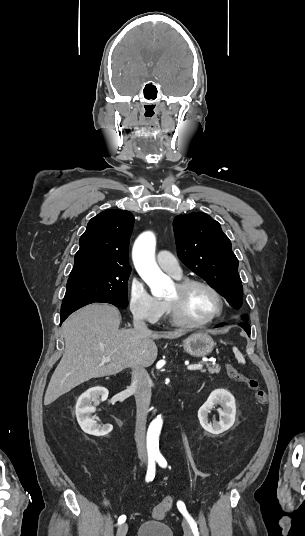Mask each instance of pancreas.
Listing matches in <instances>:
<instances>
[{
  "label": "pancreas",
  "instance_id": "pancreas-1",
  "mask_svg": "<svg viewBox=\"0 0 305 536\" xmlns=\"http://www.w3.org/2000/svg\"><path fill=\"white\" fill-rule=\"evenodd\" d=\"M207 370H201V372H209V374H219L221 370V366H218V364H215V366H212V364H206Z\"/></svg>",
  "mask_w": 305,
  "mask_h": 536
}]
</instances>
